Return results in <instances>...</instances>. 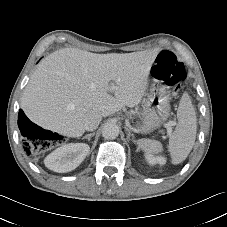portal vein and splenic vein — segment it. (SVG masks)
<instances>
[{"instance_id":"18ae733b","label":"portal vein and splenic vein","mask_w":227,"mask_h":227,"mask_svg":"<svg viewBox=\"0 0 227 227\" xmlns=\"http://www.w3.org/2000/svg\"><path fill=\"white\" fill-rule=\"evenodd\" d=\"M172 123L165 124V128L167 129V134L170 136L172 134Z\"/></svg>"}]
</instances>
